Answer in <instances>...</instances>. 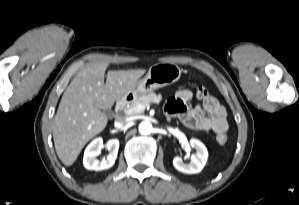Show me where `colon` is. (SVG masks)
I'll use <instances>...</instances> for the list:
<instances>
[{
  "label": "colon",
  "mask_w": 299,
  "mask_h": 205,
  "mask_svg": "<svg viewBox=\"0 0 299 205\" xmlns=\"http://www.w3.org/2000/svg\"><path fill=\"white\" fill-rule=\"evenodd\" d=\"M208 95V90L204 86H199L197 89V97L205 98ZM216 141L220 145H224L228 141V136L226 133H218L216 136Z\"/></svg>",
  "instance_id": "5ec220e1"
}]
</instances>
